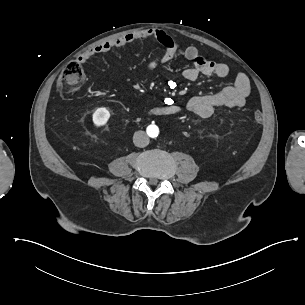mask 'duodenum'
Segmentation results:
<instances>
[{"label":"duodenum","instance_id":"duodenum-1","mask_svg":"<svg viewBox=\"0 0 305 305\" xmlns=\"http://www.w3.org/2000/svg\"><path fill=\"white\" fill-rule=\"evenodd\" d=\"M158 112H159V109H155V110H154V113H158Z\"/></svg>","mask_w":305,"mask_h":305}]
</instances>
